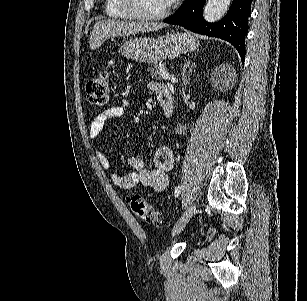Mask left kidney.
<instances>
[{
    "label": "left kidney",
    "mask_w": 307,
    "mask_h": 301,
    "mask_svg": "<svg viewBox=\"0 0 307 301\" xmlns=\"http://www.w3.org/2000/svg\"><path fill=\"white\" fill-rule=\"evenodd\" d=\"M222 68H225L224 72H222ZM219 74L226 76L225 82L224 80H218V78H215V76H219ZM233 74H235V70L230 66V64H220V66H216L215 70L212 72V82H214L215 86H218V88L229 86L230 82H232Z\"/></svg>",
    "instance_id": "left-kidney-1"
}]
</instances>
